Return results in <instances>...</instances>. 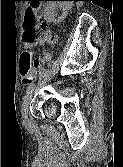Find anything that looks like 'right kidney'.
Instances as JSON below:
<instances>
[{"label": "right kidney", "mask_w": 123, "mask_h": 167, "mask_svg": "<svg viewBox=\"0 0 123 167\" xmlns=\"http://www.w3.org/2000/svg\"><path fill=\"white\" fill-rule=\"evenodd\" d=\"M72 5V1H48L45 7V16L51 21L59 22L67 16ZM58 9L62 11V15H58L56 12Z\"/></svg>", "instance_id": "1"}]
</instances>
